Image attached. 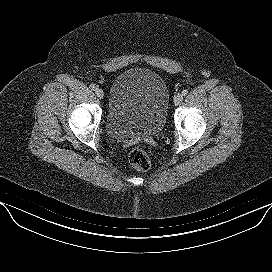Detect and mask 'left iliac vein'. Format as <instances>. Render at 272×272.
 I'll list each match as a JSON object with an SVG mask.
<instances>
[{
	"instance_id": "1",
	"label": "left iliac vein",
	"mask_w": 272,
	"mask_h": 272,
	"mask_svg": "<svg viewBox=\"0 0 272 272\" xmlns=\"http://www.w3.org/2000/svg\"><path fill=\"white\" fill-rule=\"evenodd\" d=\"M173 100H174L175 105H179L183 100V95L178 93L174 96Z\"/></svg>"
}]
</instances>
